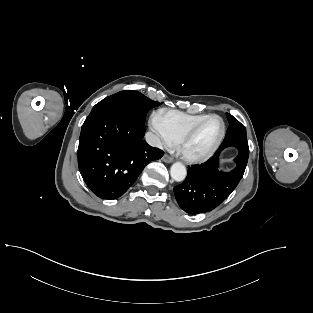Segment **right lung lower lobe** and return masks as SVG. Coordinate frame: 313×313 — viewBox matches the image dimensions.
I'll return each instance as SVG.
<instances>
[{
    "mask_svg": "<svg viewBox=\"0 0 313 313\" xmlns=\"http://www.w3.org/2000/svg\"><path fill=\"white\" fill-rule=\"evenodd\" d=\"M146 129L120 112L103 111L83 123L78 165L83 180L98 197L117 199L143 168L164 152L143 141Z\"/></svg>",
    "mask_w": 313,
    "mask_h": 313,
    "instance_id": "obj_1",
    "label": "right lung lower lobe"
}]
</instances>
